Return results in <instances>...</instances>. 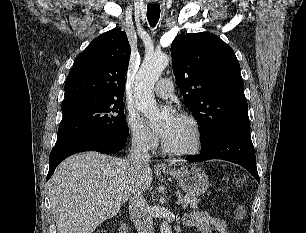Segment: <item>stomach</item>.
Segmentation results:
<instances>
[{
  "mask_svg": "<svg viewBox=\"0 0 306 233\" xmlns=\"http://www.w3.org/2000/svg\"><path fill=\"white\" fill-rule=\"evenodd\" d=\"M163 171L170 173L177 180L182 190L193 197L204 194L209 186L206 173L196 166L183 165L177 170Z\"/></svg>",
  "mask_w": 306,
  "mask_h": 233,
  "instance_id": "obj_1",
  "label": "stomach"
}]
</instances>
